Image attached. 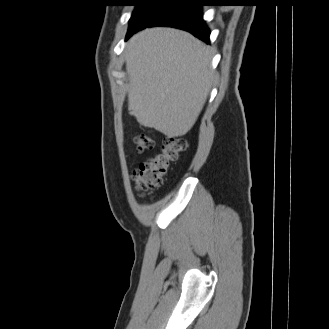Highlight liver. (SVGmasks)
Listing matches in <instances>:
<instances>
[{
  "label": "liver",
  "mask_w": 329,
  "mask_h": 329,
  "mask_svg": "<svg viewBox=\"0 0 329 329\" xmlns=\"http://www.w3.org/2000/svg\"><path fill=\"white\" fill-rule=\"evenodd\" d=\"M125 58L130 115L168 138L185 135L211 87L210 48L185 31L155 27L128 41Z\"/></svg>",
  "instance_id": "1"
}]
</instances>
